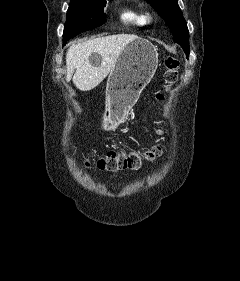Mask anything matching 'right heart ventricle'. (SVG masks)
<instances>
[{"instance_id":"1","label":"right heart ventricle","mask_w":240,"mask_h":281,"mask_svg":"<svg viewBox=\"0 0 240 281\" xmlns=\"http://www.w3.org/2000/svg\"><path fill=\"white\" fill-rule=\"evenodd\" d=\"M123 22L132 26H143L146 23L143 13L136 7H126L120 13Z\"/></svg>"}]
</instances>
